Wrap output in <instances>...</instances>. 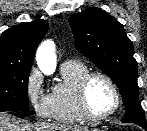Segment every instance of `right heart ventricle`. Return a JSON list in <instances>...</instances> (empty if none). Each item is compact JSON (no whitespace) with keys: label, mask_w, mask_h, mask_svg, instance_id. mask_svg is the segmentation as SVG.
<instances>
[{"label":"right heart ventricle","mask_w":147,"mask_h":131,"mask_svg":"<svg viewBox=\"0 0 147 131\" xmlns=\"http://www.w3.org/2000/svg\"><path fill=\"white\" fill-rule=\"evenodd\" d=\"M89 72L88 67L77 61H68L61 66V80L51 90V118L59 123L73 124L84 118L77 105V86L81 78Z\"/></svg>","instance_id":"obj_1"}]
</instances>
